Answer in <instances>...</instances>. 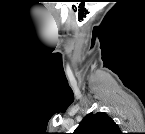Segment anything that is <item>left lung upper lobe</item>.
<instances>
[{
  "instance_id": "1",
  "label": "left lung upper lobe",
  "mask_w": 145,
  "mask_h": 134,
  "mask_svg": "<svg viewBox=\"0 0 145 134\" xmlns=\"http://www.w3.org/2000/svg\"><path fill=\"white\" fill-rule=\"evenodd\" d=\"M74 134H120L118 125L104 112L89 113L80 122Z\"/></svg>"
}]
</instances>
